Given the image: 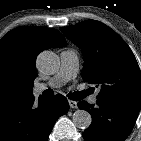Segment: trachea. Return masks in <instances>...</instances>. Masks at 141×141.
<instances>
[{
  "label": "trachea",
  "instance_id": "1",
  "mask_svg": "<svg viewBox=\"0 0 141 141\" xmlns=\"http://www.w3.org/2000/svg\"><path fill=\"white\" fill-rule=\"evenodd\" d=\"M48 94L50 96H52L53 95V91L51 89H48ZM88 94H89L88 91H80V92L77 91V92H74V93H69L68 97L71 100L79 101V100H82L83 98H85Z\"/></svg>",
  "mask_w": 141,
  "mask_h": 141
}]
</instances>
